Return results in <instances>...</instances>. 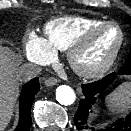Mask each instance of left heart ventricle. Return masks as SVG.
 <instances>
[{
    "label": "left heart ventricle",
    "instance_id": "1",
    "mask_svg": "<svg viewBox=\"0 0 131 131\" xmlns=\"http://www.w3.org/2000/svg\"><path fill=\"white\" fill-rule=\"evenodd\" d=\"M119 38V31L114 26L101 30L81 53L79 57L81 64L85 66H96L103 63L114 51Z\"/></svg>",
    "mask_w": 131,
    "mask_h": 131
}]
</instances>
